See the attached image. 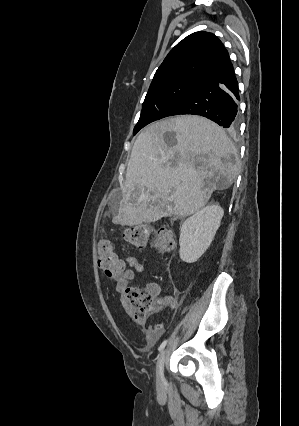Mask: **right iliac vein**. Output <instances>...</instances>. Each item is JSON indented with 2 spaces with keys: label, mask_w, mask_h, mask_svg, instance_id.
Segmentation results:
<instances>
[{
  "label": "right iliac vein",
  "mask_w": 299,
  "mask_h": 426,
  "mask_svg": "<svg viewBox=\"0 0 299 426\" xmlns=\"http://www.w3.org/2000/svg\"><path fill=\"white\" fill-rule=\"evenodd\" d=\"M166 361V350H163L157 362V385L161 386L164 380V366Z\"/></svg>",
  "instance_id": "obj_1"
}]
</instances>
